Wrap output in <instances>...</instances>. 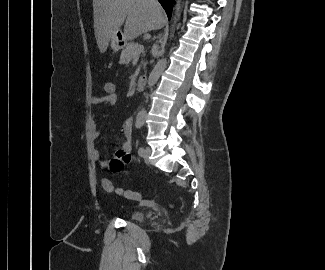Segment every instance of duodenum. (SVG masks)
<instances>
[{
    "instance_id": "410a0bca",
    "label": "duodenum",
    "mask_w": 325,
    "mask_h": 270,
    "mask_svg": "<svg viewBox=\"0 0 325 270\" xmlns=\"http://www.w3.org/2000/svg\"><path fill=\"white\" fill-rule=\"evenodd\" d=\"M148 84V78L145 76H141L139 77L138 81H137V85H136V89L137 91H141L143 90Z\"/></svg>"
}]
</instances>
